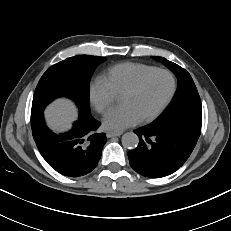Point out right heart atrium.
Instances as JSON below:
<instances>
[{
  "label": "right heart atrium",
  "mask_w": 231,
  "mask_h": 231,
  "mask_svg": "<svg viewBox=\"0 0 231 231\" xmlns=\"http://www.w3.org/2000/svg\"><path fill=\"white\" fill-rule=\"evenodd\" d=\"M89 98L96 111L104 114L113 106L116 95L103 77H97L90 84Z\"/></svg>",
  "instance_id": "obj_1"
}]
</instances>
